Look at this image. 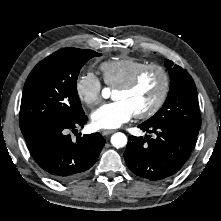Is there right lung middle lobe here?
I'll return each mask as SVG.
<instances>
[{
	"label": "right lung middle lobe",
	"mask_w": 221,
	"mask_h": 221,
	"mask_svg": "<svg viewBox=\"0 0 221 221\" xmlns=\"http://www.w3.org/2000/svg\"><path fill=\"white\" fill-rule=\"evenodd\" d=\"M99 56L89 49L64 48L33 68L21 100L19 125L23 135L49 123L72 122L84 115L76 81L84 64Z\"/></svg>",
	"instance_id": "obj_1"
}]
</instances>
